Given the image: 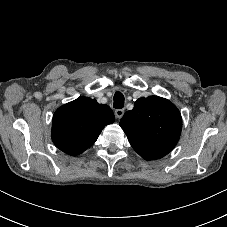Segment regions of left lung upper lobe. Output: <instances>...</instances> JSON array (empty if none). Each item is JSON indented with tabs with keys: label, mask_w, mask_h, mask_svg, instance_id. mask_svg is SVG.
<instances>
[{
	"label": "left lung upper lobe",
	"mask_w": 227,
	"mask_h": 227,
	"mask_svg": "<svg viewBox=\"0 0 227 227\" xmlns=\"http://www.w3.org/2000/svg\"><path fill=\"white\" fill-rule=\"evenodd\" d=\"M119 125L141 157L156 160L176 146L182 118L177 107L169 100L150 96L136 100L134 108L124 114Z\"/></svg>",
	"instance_id": "1"
}]
</instances>
